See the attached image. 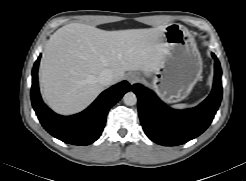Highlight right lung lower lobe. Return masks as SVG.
Wrapping results in <instances>:
<instances>
[{
	"mask_svg": "<svg viewBox=\"0 0 246 181\" xmlns=\"http://www.w3.org/2000/svg\"><path fill=\"white\" fill-rule=\"evenodd\" d=\"M32 70L31 101L42 126L55 138L73 145H89L96 141L106 123L109 109L130 90V84L122 81L104 91L86 110L73 116H60L42 101L38 88V65Z\"/></svg>",
	"mask_w": 246,
	"mask_h": 181,
	"instance_id": "obj_1",
	"label": "right lung lower lobe"
}]
</instances>
